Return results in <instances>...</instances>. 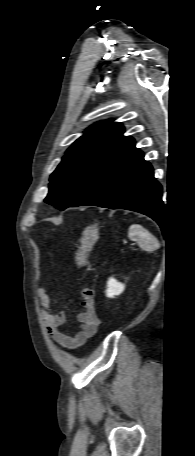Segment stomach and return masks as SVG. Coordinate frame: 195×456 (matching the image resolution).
I'll return each instance as SVG.
<instances>
[{
    "mask_svg": "<svg viewBox=\"0 0 195 456\" xmlns=\"http://www.w3.org/2000/svg\"><path fill=\"white\" fill-rule=\"evenodd\" d=\"M99 238V228L97 224L86 227L82 233L81 246L77 252V259L80 264L86 262L88 253L91 251L94 243Z\"/></svg>",
    "mask_w": 195,
    "mask_h": 456,
    "instance_id": "obj_1",
    "label": "stomach"
}]
</instances>
